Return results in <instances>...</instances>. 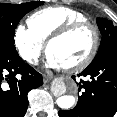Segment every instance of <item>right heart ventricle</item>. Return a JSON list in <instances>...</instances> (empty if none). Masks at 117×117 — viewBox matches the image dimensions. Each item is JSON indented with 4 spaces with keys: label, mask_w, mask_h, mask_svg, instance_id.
<instances>
[{
    "label": "right heart ventricle",
    "mask_w": 117,
    "mask_h": 117,
    "mask_svg": "<svg viewBox=\"0 0 117 117\" xmlns=\"http://www.w3.org/2000/svg\"><path fill=\"white\" fill-rule=\"evenodd\" d=\"M87 21L84 13L66 6H50L37 10L27 19L29 29L43 42L62 27Z\"/></svg>",
    "instance_id": "e07e8e85"
}]
</instances>
